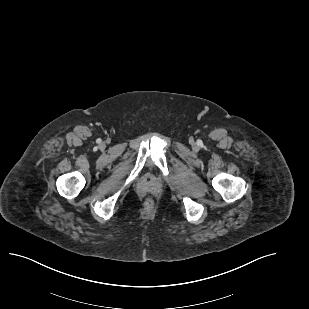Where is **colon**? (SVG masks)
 Masks as SVG:
<instances>
[{
    "label": "colon",
    "instance_id": "5ec220e1",
    "mask_svg": "<svg viewBox=\"0 0 309 309\" xmlns=\"http://www.w3.org/2000/svg\"><path fill=\"white\" fill-rule=\"evenodd\" d=\"M145 204L147 207H152L154 205V201L151 198H148Z\"/></svg>",
    "mask_w": 309,
    "mask_h": 309
}]
</instances>
